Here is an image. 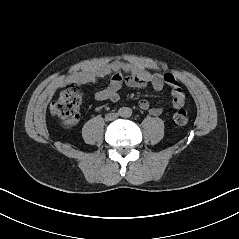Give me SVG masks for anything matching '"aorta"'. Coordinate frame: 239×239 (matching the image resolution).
<instances>
[{
	"instance_id": "1",
	"label": "aorta",
	"mask_w": 239,
	"mask_h": 239,
	"mask_svg": "<svg viewBox=\"0 0 239 239\" xmlns=\"http://www.w3.org/2000/svg\"><path fill=\"white\" fill-rule=\"evenodd\" d=\"M131 114H132V111H131L130 108H125L124 111H123V113H122V115H123L124 117H129Z\"/></svg>"
}]
</instances>
